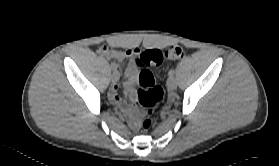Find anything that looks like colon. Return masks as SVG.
Segmentation results:
<instances>
[{
  "label": "colon",
  "instance_id": "5ec220e1",
  "mask_svg": "<svg viewBox=\"0 0 279 166\" xmlns=\"http://www.w3.org/2000/svg\"><path fill=\"white\" fill-rule=\"evenodd\" d=\"M183 57L184 49L179 45H171L163 52L157 49L146 50L136 58L135 66L140 69L136 101L143 109L140 122L142 130L146 131L152 126L154 110L163 101L165 95L163 88L155 84L154 76L147 67L160 64L164 58L174 61Z\"/></svg>",
  "mask_w": 279,
  "mask_h": 166
}]
</instances>
